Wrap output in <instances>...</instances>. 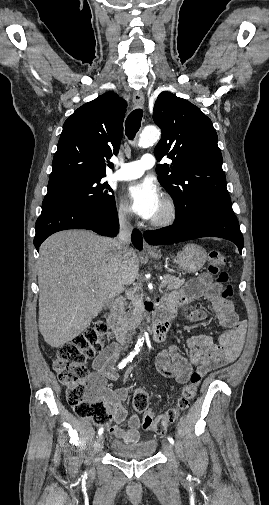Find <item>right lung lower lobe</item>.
Returning <instances> with one entry per match:
<instances>
[{
  "mask_svg": "<svg viewBox=\"0 0 269 505\" xmlns=\"http://www.w3.org/2000/svg\"><path fill=\"white\" fill-rule=\"evenodd\" d=\"M66 229H88L100 235L114 237L119 232L116 206L108 213L70 202H61L42 207L36 221L34 245L39 251L41 243L51 234ZM131 240L134 246L142 249V235L133 230Z\"/></svg>",
  "mask_w": 269,
  "mask_h": 505,
  "instance_id": "1",
  "label": "right lung lower lobe"
}]
</instances>
